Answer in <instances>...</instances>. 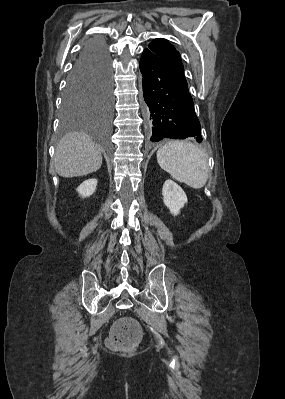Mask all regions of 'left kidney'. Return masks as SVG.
<instances>
[{
    "mask_svg": "<svg viewBox=\"0 0 285 399\" xmlns=\"http://www.w3.org/2000/svg\"><path fill=\"white\" fill-rule=\"evenodd\" d=\"M163 202L174 216L180 213V209L187 203V196L183 189L174 181L168 179L162 188Z\"/></svg>",
    "mask_w": 285,
    "mask_h": 399,
    "instance_id": "5707ae66",
    "label": "left kidney"
}]
</instances>
